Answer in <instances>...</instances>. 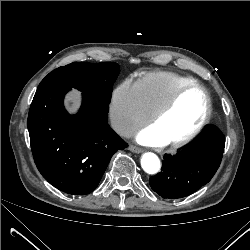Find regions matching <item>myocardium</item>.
I'll return each mask as SVG.
<instances>
[{
  "instance_id": "myocardium-1",
  "label": "myocardium",
  "mask_w": 250,
  "mask_h": 250,
  "mask_svg": "<svg viewBox=\"0 0 250 250\" xmlns=\"http://www.w3.org/2000/svg\"><path fill=\"white\" fill-rule=\"evenodd\" d=\"M191 89H199L203 92L204 97H205V103H206L205 112L200 122L191 132H189L187 135L179 139L168 142V144L174 148L182 147L188 144L189 142H191L192 140H194L202 132V130L205 128V126L209 122L211 112H212V101H211V97H210L208 90L203 85L196 83V82L184 84L180 86L179 88H177L175 92L171 95V97L151 117L152 125L159 122L165 115H167L173 109V107L175 106L179 98L186 91L191 90Z\"/></svg>"
}]
</instances>
